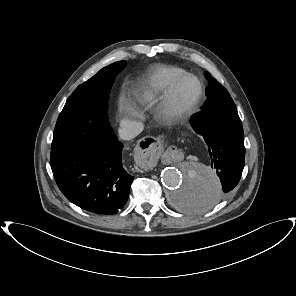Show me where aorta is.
Here are the masks:
<instances>
[{
	"instance_id": "762f6f07",
	"label": "aorta",
	"mask_w": 296,
	"mask_h": 296,
	"mask_svg": "<svg viewBox=\"0 0 296 296\" xmlns=\"http://www.w3.org/2000/svg\"><path fill=\"white\" fill-rule=\"evenodd\" d=\"M170 206L181 213H206L221 198V183L211 168L199 163H185L166 168L161 174Z\"/></svg>"
}]
</instances>
